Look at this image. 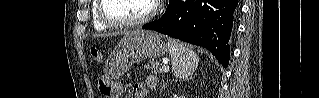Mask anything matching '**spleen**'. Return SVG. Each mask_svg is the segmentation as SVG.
<instances>
[{"instance_id": "1", "label": "spleen", "mask_w": 319, "mask_h": 98, "mask_svg": "<svg viewBox=\"0 0 319 98\" xmlns=\"http://www.w3.org/2000/svg\"><path fill=\"white\" fill-rule=\"evenodd\" d=\"M168 52L171 55L172 71L178 78H187L198 66V55L185 44L169 39L166 43Z\"/></svg>"}]
</instances>
